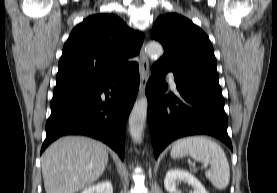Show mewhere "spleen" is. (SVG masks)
I'll use <instances>...</instances> for the list:
<instances>
[{
    "instance_id": "spleen-1",
    "label": "spleen",
    "mask_w": 277,
    "mask_h": 193,
    "mask_svg": "<svg viewBox=\"0 0 277 193\" xmlns=\"http://www.w3.org/2000/svg\"><path fill=\"white\" fill-rule=\"evenodd\" d=\"M171 157L179 158L190 155L197 161L210 164L211 168L205 172L206 178L218 190H224L230 180V168L222 147L205 136H190L174 142Z\"/></svg>"
}]
</instances>
